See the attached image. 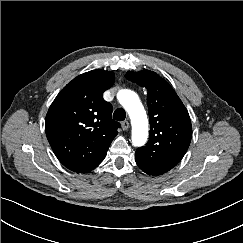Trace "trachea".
Wrapping results in <instances>:
<instances>
[{
    "instance_id": "1",
    "label": "trachea",
    "mask_w": 243,
    "mask_h": 243,
    "mask_svg": "<svg viewBox=\"0 0 243 243\" xmlns=\"http://www.w3.org/2000/svg\"><path fill=\"white\" fill-rule=\"evenodd\" d=\"M113 118L117 121H123L126 118V112L122 108H118L113 113Z\"/></svg>"
}]
</instances>
